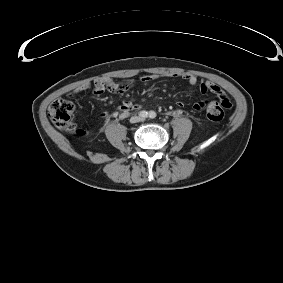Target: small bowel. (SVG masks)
<instances>
[{"label":"small bowel","instance_id":"small-bowel-1","mask_svg":"<svg viewBox=\"0 0 283 283\" xmlns=\"http://www.w3.org/2000/svg\"><path fill=\"white\" fill-rule=\"evenodd\" d=\"M174 77L181 78V79L185 80L191 86H196L198 84V78L193 74H188V73L177 74V75H174ZM158 78H159V76H156V75H148V76L143 77L142 81L143 82H150V81H153V80L158 79ZM133 85H134L133 82H128L126 84H118V83H115L114 81L109 80V79H97L92 83H87V84H83V85L78 86L77 88H75L69 94V96L73 97L76 94H78L79 92L90 89V88H92L93 94L95 96H100L104 92H110V93L117 94V95H123V94L127 93ZM208 92L214 94L219 99H221V95L225 94L223 92V90L218 85H216L212 82L201 83L200 84V93L205 95ZM209 104L210 103H208V101L201 100V101L194 103L193 109L195 111H202L205 108H207V106ZM177 106L179 108H182L184 106V103L181 102V101H178ZM141 107H142L141 104H134L130 101H125L122 104V106H120V108L118 110L119 112H112L111 113V112L105 111V112H102L100 114V116L104 119H107L110 116L118 115V114H120L121 116H126V115L129 114V112H131L133 110H138Z\"/></svg>","mask_w":283,"mask_h":283}]
</instances>
